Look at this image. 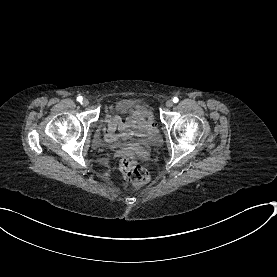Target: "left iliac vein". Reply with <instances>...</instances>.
Listing matches in <instances>:
<instances>
[{"label":"left iliac vein","instance_id":"1","mask_svg":"<svg viewBox=\"0 0 277 277\" xmlns=\"http://www.w3.org/2000/svg\"><path fill=\"white\" fill-rule=\"evenodd\" d=\"M173 104H174V103H173V101H172L171 99H169V100L166 101V106L169 107V108L172 107Z\"/></svg>","mask_w":277,"mask_h":277}]
</instances>
